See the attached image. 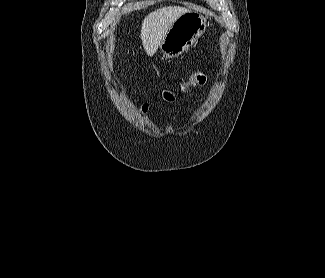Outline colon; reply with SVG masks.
<instances>
[{
	"mask_svg": "<svg viewBox=\"0 0 325 278\" xmlns=\"http://www.w3.org/2000/svg\"><path fill=\"white\" fill-rule=\"evenodd\" d=\"M206 79L207 77L205 74L197 72L194 75H192L188 80L183 81L177 90L175 91L165 90L163 92V98L166 101H173L175 97H177L178 95L184 94L189 90H191L192 88H196L204 85ZM147 107H148L147 105H144L143 109L146 110Z\"/></svg>",
	"mask_w": 325,
	"mask_h": 278,
	"instance_id": "colon-1",
	"label": "colon"
}]
</instances>
